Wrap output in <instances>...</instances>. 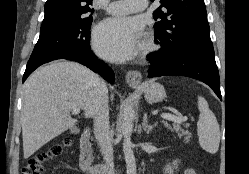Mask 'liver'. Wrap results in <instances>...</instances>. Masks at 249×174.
I'll return each mask as SVG.
<instances>
[{"label":"liver","mask_w":249,"mask_h":174,"mask_svg":"<svg viewBox=\"0 0 249 174\" xmlns=\"http://www.w3.org/2000/svg\"><path fill=\"white\" fill-rule=\"evenodd\" d=\"M100 78L83 65L55 61L37 69L24 84L21 115L24 158L77 123L72 107L92 117Z\"/></svg>","instance_id":"1"}]
</instances>
